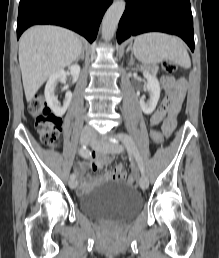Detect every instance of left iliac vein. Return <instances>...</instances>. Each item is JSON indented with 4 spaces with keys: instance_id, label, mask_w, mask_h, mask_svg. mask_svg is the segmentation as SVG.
<instances>
[{
    "instance_id": "obj_1",
    "label": "left iliac vein",
    "mask_w": 219,
    "mask_h": 258,
    "mask_svg": "<svg viewBox=\"0 0 219 258\" xmlns=\"http://www.w3.org/2000/svg\"><path fill=\"white\" fill-rule=\"evenodd\" d=\"M90 145L93 149L103 152H108L111 154H118L123 151V147L116 143H103L99 142L95 139V135H93ZM139 186L141 189L145 190L148 188V179L144 174H141L139 178Z\"/></svg>"
}]
</instances>
